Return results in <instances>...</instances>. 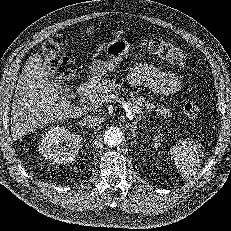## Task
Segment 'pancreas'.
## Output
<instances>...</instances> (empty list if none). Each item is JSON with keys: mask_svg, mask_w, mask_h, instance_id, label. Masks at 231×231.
Wrapping results in <instances>:
<instances>
[{"mask_svg": "<svg viewBox=\"0 0 231 231\" xmlns=\"http://www.w3.org/2000/svg\"><path fill=\"white\" fill-rule=\"evenodd\" d=\"M122 92H125L124 87L120 83H116L115 79H105L99 82V84L95 85L92 89V93L88 95L87 99L93 104H102L104 102H112L108 96L115 95L118 96ZM130 98H128L130 102V108L135 111V113H140L142 109L146 108V110L151 113L152 110L156 107L153 103L145 100L143 96L137 95L134 96V93H130ZM156 114H159L163 117H170L172 114L170 109L165 106H159L155 110Z\"/></svg>", "mask_w": 231, "mask_h": 231, "instance_id": "obj_1", "label": "pancreas"}]
</instances>
